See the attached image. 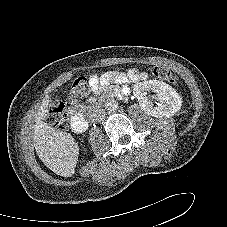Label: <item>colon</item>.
<instances>
[{
  "label": "colon",
  "instance_id": "obj_1",
  "mask_svg": "<svg viewBox=\"0 0 227 227\" xmlns=\"http://www.w3.org/2000/svg\"><path fill=\"white\" fill-rule=\"evenodd\" d=\"M151 73L158 79L168 81L171 84H176L177 79L164 66L154 65L151 67ZM92 76L84 75L78 77L70 88V96L73 99H78L86 96L90 89V81ZM48 123L59 130H65L67 127V113L65 105L61 102H53L47 113Z\"/></svg>",
  "mask_w": 227,
  "mask_h": 227
}]
</instances>
